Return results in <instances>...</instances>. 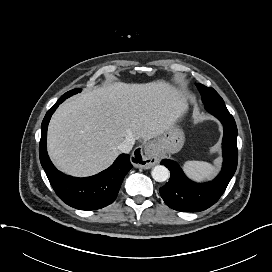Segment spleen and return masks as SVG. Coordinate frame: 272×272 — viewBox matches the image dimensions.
I'll list each match as a JSON object with an SVG mask.
<instances>
[{"label": "spleen", "instance_id": "obj_1", "mask_svg": "<svg viewBox=\"0 0 272 272\" xmlns=\"http://www.w3.org/2000/svg\"><path fill=\"white\" fill-rule=\"evenodd\" d=\"M219 163L220 160L216 159V164ZM183 168L186 174L195 180L210 178L216 173L212 164L203 161H187L183 164Z\"/></svg>", "mask_w": 272, "mask_h": 272}]
</instances>
